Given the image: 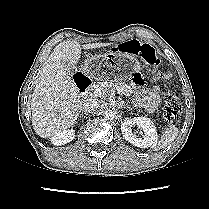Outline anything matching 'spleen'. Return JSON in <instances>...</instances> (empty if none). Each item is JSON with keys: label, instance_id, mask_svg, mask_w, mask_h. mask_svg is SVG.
I'll use <instances>...</instances> for the list:
<instances>
[{"label": "spleen", "instance_id": "spleen-1", "mask_svg": "<svg viewBox=\"0 0 209 209\" xmlns=\"http://www.w3.org/2000/svg\"><path fill=\"white\" fill-rule=\"evenodd\" d=\"M179 130L175 126L168 127L162 134L160 141L154 146L155 150L165 148L178 136Z\"/></svg>", "mask_w": 209, "mask_h": 209}]
</instances>
